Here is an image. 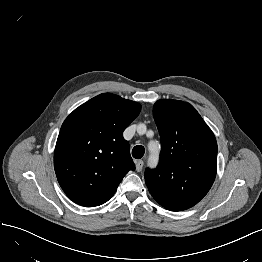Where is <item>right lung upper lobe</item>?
I'll return each mask as SVG.
<instances>
[{
    "instance_id": "cb5924a9",
    "label": "right lung upper lobe",
    "mask_w": 262,
    "mask_h": 262,
    "mask_svg": "<svg viewBox=\"0 0 262 262\" xmlns=\"http://www.w3.org/2000/svg\"><path fill=\"white\" fill-rule=\"evenodd\" d=\"M140 110L137 102L104 93L79 106L63 122L54 168L73 202L87 207L105 203L135 169L123 131Z\"/></svg>"
}]
</instances>
